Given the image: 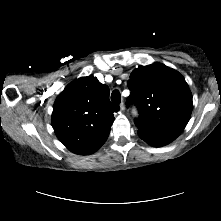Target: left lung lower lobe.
Returning a JSON list of instances; mask_svg holds the SVG:
<instances>
[{
  "label": "left lung lower lobe",
  "mask_w": 221,
  "mask_h": 221,
  "mask_svg": "<svg viewBox=\"0 0 221 221\" xmlns=\"http://www.w3.org/2000/svg\"><path fill=\"white\" fill-rule=\"evenodd\" d=\"M138 135L141 139H143L145 142H147L148 144L154 147L164 146L174 140L171 138H166V137H161V136H157L154 134H150L141 130H138Z\"/></svg>",
  "instance_id": "0a47b994"
}]
</instances>
